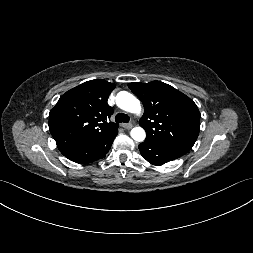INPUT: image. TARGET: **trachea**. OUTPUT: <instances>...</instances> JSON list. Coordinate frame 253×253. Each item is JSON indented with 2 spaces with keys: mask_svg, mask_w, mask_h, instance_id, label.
I'll use <instances>...</instances> for the list:
<instances>
[{
  "mask_svg": "<svg viewBox=\"0 0 253 253\" xmlns=\"http://www.w3.org/2000/svg\"><path fill=\"white\" fill-rule=\"evenodd\" d=\"M117 123H128L130 118L127 114L124 113H118L115 118Z\"/></svg>",
  "mask_w": 253,
  "mask_h": 253,
  "instance_id": "obj_1",
  "label": "trachea"
}]
</instances>
